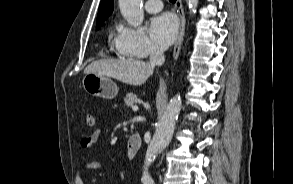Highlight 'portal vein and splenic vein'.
<instances>
[{
    "label": "portal vein and splenic vein",
    "mask_w": 293,
    "mask_h": 184,
    "mask_svg": "<svg viewBox=\"0 0 293 184\" xmlns=\"http://www.w3.org/2000/svg\"><path fill=\"white\" fill-rule=\"evenodd\" d=\"M132 110H133L134 112H137V111H138V107H137V106H133V107H132Z\"/></svg>",
    "instance_id": "1"
}]
</instances>
